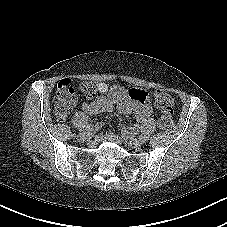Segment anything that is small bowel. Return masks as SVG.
<instances>
[{"label":"small bowel","mask_w":227,"mask_h":227,"mask_svg":"<svg viewBox=\"0 0 227 227\" xmlns=\"http://www.w3.org/2000/svg\"><path fill=\"white\" fill-rule=\"evenodd\" d=\"M98 92L101 94L91 102H84L82 108L88 115L111 111L117 108L123 114H133L138 121L147 118L152 108L147 101V94L139 88H124L119 85L109 87L105 83H98ZM139 129L138 124L123 128L122 133L126 136L134 135ZM111 133L107 138H111Z\"/></svg>","instance_id":"1"}]
</instances>
